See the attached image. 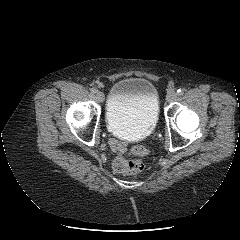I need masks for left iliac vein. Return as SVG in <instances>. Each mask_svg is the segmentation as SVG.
Masks as SVG:
<instances>
[{"label":"left iliac vein","mask_w":240,"mask_h":240,"mask_svg":"<svg viewBox=\"0 0 240 240\" xmlns=\"http://www.w3.org/2000/svg\"><path fill=\"white\" fill-rule=\"evenodd\" d=\"M176 98H177V93L174 90H170L167 93L166 100L168 102H173V101H175Z\"/></svg>","instance_id":"4c4485c4"}]
</instances>
